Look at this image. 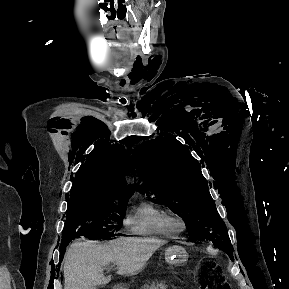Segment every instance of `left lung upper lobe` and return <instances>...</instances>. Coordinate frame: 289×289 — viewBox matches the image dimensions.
I'll list each match as a JSON object with an SVG mask.
<instances>
[{"label":"left lung upper lobe","mask_w":289,"mask_h":289,"mask_svg":"<svg viewBox=\"0 0 289 289\" xmlns=\"http://www.w3.org/2000/svg\"><path fill=\"white\" fill-rule=\"evenodd\" d=\"M140 147L138 172L142 177L138 182L141 185L136 188L147 195H155L153 202L164 204L186 218L190 241L212 242L234 261L225 223L216 210L200 166L189 150L171 136L158 137Z\"/></svg>","instance_id":"5c2ea615"}]
</instances>
